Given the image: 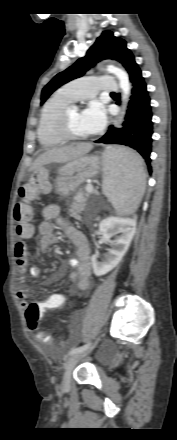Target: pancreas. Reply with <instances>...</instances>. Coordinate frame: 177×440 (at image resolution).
I'll return each instance as SVG.
<instances>
[{"label": "pancreas", "instance_id": "cf45deb5", "mask_svg": "<svg viewBox=\"0 0 177 440\" xmlns=\"http://www.w3.org/2000/svg\"><path fill=\"white\" fill-rule=\"evenodd\" d=\"M86 188L87 186L85 187V191L80 190L77 193L69 209V215L77 220L81 219L80 214L85 208L86 200L92 194V192H88Z\"/></svg>", "mask_w": 177, "mask_h": 440}]
</instances>
